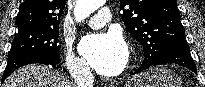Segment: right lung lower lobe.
<instances>
[{
  "label": "right lung lower lobe",
  "mask_w": 205,
  "mask_h": 87,
  "mask_svg": "<svg viewBox=\"0 0 205 87\" xmlns=\"http://www.w3.org/2000/svg\"><path fill=\"white\" fill-rule=\"evenodd\" d=\"M41 63L56 67L57 62L33 54H14L8 55V63L2 76V82L17 68L26 64Z\"/></svg>",
  "instance_id": "obj_1"
}]
</instances>
